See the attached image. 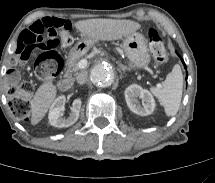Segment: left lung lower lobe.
<instances>
[{"label":"left lung lower lobe","instance_id":"1","mask_svg":"<svg viewBox=\"0 0 215 183\" xmlns=\"http://www.w3.org/2000/svg\"><path fill=\"white\" fill-rule=\"evenodd\" d=\"M181 61H182V63L184 64V67H185V69H186V65H185V63H184V61L181 59ZM186 79H187V77H186Z\"/></svg>","mask_w":215,"mask_h":183}]
</instances>
